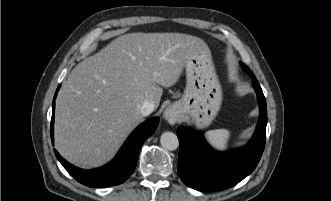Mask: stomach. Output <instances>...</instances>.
Instances as JSON below:
<instances>
[{
	"instance_id": "1",
	"label": "stomach",
	"mask_w": 331,
	"mask_h": 201,
	"mask_svg": "<svg viewBox=\"0 0 331 201\" xmlns=\"http://www.w3.org/2000/svg\"><path fill=\"white\" fill-rule=\"evenodd\" d=\"M186 88L174 103L183 120H191L199 129L208 127L222 103V89L209 48L197 50L186 62Z\"/></svg>"
}]
</instances>
